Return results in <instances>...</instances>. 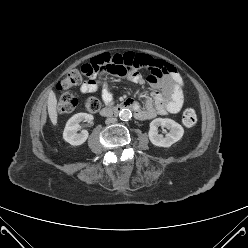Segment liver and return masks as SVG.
I'll return each mask as SVG.
<instances>
[{
	"label": "liver",
	"instance_id": "obj_1",
	"mask_svg": "<svg viewBox=\"0 0 248 248\" xmlns=\"http://www.w3.org/2000/svg\"><path fill=\"white\" fill-rule=\"evenodd\" d=\"M47 106H48L49 118H50L52 124L56 125L57 124V118H58L57 117V99H56V95L53 91H51L49 93Z\"/></svg>",
	"mask_w": 248,
	"mask_h": 248
}]
</instances>
